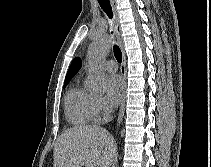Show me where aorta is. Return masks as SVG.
<instances>
[{
	"label": "aorta",
	"instance_id": "obj_1",
	"mask_svg": "<svg viewBox=\"0 0 211 167\" xmlns=\"http://www.w3.org/2000/svg\"><path fill=\"white\" fill-rule=\"evenodd\" d=\"M111 48V40L102 36L92 43L88 50L89 81L88 87L93 91H100L106 82V75L102 69V61Z\"/></svg>",
	"mask_w": 211,
	"mask_h": 167
}]
</instances>
